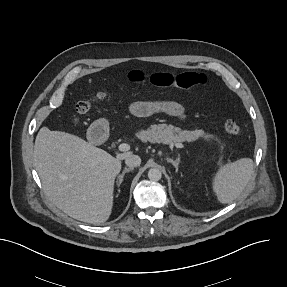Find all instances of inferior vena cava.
<instances>
[{"label":"inferior vena cava","mask_w":287,"mask_h":287,"mask_svg":"<svg viewBox=\"0 0 287 287\" xmlns=\"http://www.w3.org/2000/svg\"><path fill=\"white\" fill-rule=\"evenodd\" d=\"M125 164L130 168L140 166L141 158L138 155L130 154L125 158Z\"/></svg>","instance_id":"602c4592"}]
</instances>
